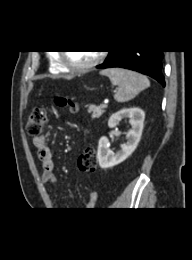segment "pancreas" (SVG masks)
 I'll list each match as a JSON object with an SVG mask.
<instances>
[{"mask_svg": "<svg viewBox=\"0 0 192 260\" xmlns=\"http://www.w3.org/2000/svg\"><path fill=\"white\" fill-rule=\"evenodd\" d=\"M88 107V112L91 113L92 119L99 118L104 112L105 108L102 105L100 106H95V105H90Z\"/></svg>", "mask_w": 192, "mask_h": 260, "instance_id": "1", "label": "pancreas"}]
</instances>
